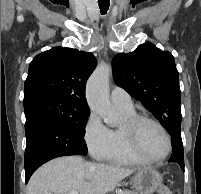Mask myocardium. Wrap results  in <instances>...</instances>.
<instances>
[{"instance_id": "obj_1", "label": "myocardium", "mask_w": 201, "mask_h": 194, "mask_svg": "<svg viewBox=\"0 0 201 194\" xmlns=\"http://www.w3.org/2000/svg\"><path fill=\"white\" fill-rule=\"evenodd\" d=\"M147 122L155 125L166 137L167 151L161 157L158 158L149 157L146 154H144L139 147L138 143L139 130L142 124ZM123 129L125 131L130 149L142 160L149 163H157L165 160L170 155L173 148L172 137L168 132V130L158 120L145 115H137L133 118L126 120L125 123L123 124Z\"/></svg>"}]
</instances>
